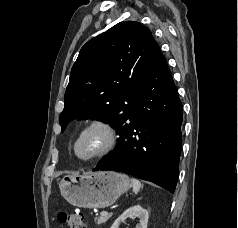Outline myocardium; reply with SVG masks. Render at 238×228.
Instances as JSON below:
<instances>
[{
    "instance_id": "f54148a6",
    "label": "myocardium",
    "mask_w": 238,
    "mask_h": 228,
    "mask_svg": "<svg viewBox=\"0 0 238 228\" xmlns=\"http://www.w3.org/2000/svg\"><path fill=\"white\" fill-rule=\"evenodd\" d=\"M98 132L102 136V143L100 147L91 155L82 157L78 154L77 148L80 141L87 135ZM117 142V134L115 128L109 122L103 119H93L86 123L77 133L73 142V154L74 156L84 162L92 161L103 157L109 153Z\"/></svg>"
}]
</instances>
